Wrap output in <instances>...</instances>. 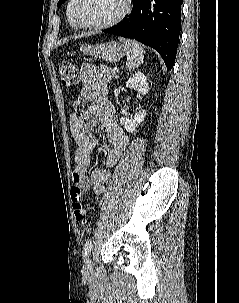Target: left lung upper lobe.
<instances>
[{
  "instance_id": "1",
  "label": "left lung upper lobe",
  "mask_w": 239,
  "mask_h": 303,
  "mask_svg": "<svg viewBox=\"0 0 239 303\" xmlns=\"http://www.w3.org/2000/svg\"><path fill=\"white\" fill-rule=\"evenodd\" d=\"M64 2H65V0H59L57 6H60V5H61L62 3H64Z\"/></svg>"
}]
</instances>
